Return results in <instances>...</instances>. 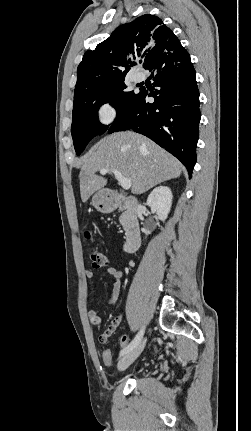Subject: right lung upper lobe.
I'll list each match as a JSON object with an SVG mask.
<instances>
[{"mask_svg": "<svg viewBox=\"0 0 251 431\" xmlns=\"http://www.w3.org/2000/svg\"><path fill=\"white\" fill-rule=\"evenodd\" d=\"M174 33L154 15L145 14L121 25L110 37L87 51L77 69L74 96L125 78L134 60L144 58L147 69L165 52L180 46Z\"/></svg>", "mask_w": 251, "mask_h": 431, "instance_id": "right-lung-upper-lobe-1", "label": "right lung upper lobe"}]
</instances>
